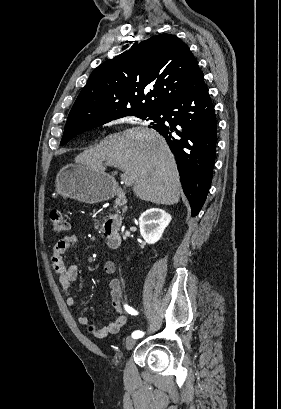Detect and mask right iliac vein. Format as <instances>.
I'll list each match as a JSON object with an SVG mask.
<instances>
[{"label": "right iliac vein", "mask_w": 281, "mask_h": 409, "mask_svg": "<svg viewBox=\"0 0 281 409\" xmlns=\"http://www.w3.org/2000/svg\"><path fill=\"white\" fill-rule=\"evenodd\" d=\"M136 344V340L132 338H127L126 340V349L131 350Z\"/></svg>", "instance_id": "63e3f726"}]
</instances>
